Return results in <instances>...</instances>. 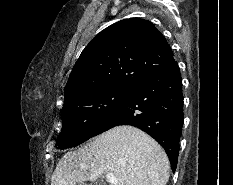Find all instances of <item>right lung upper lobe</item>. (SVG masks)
Masks as SVG:
<instances>
[{
  "mask_svg": "<svg viewBox=\"0 0 233 185\" xmlns=\"http://www.w3.org/2000/svg\"><path fill=\"white\" fill-rule=\"evenodd\" d=\"M174 61L171 47L151 22L140 18L116 22L82 51L65 87L64 105L102 89H131Z\"/></svg>",
  "mask_w": 233,
  "mask_h": 185,
  "instance_id": "1",
  "label": "right lung upper lobe"
}]
</instances>
